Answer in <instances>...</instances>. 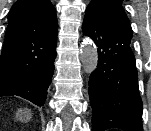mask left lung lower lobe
<instances>
[{"label":"left lung lower lobe","instance_id":"obj_1","mask_svg":"<svg viewBox=\"0 0 151 131\" xmlns=\"http://www.w3.org/2000/svg\"><path fill=\"white\" fill-rule=\"evenodd\" d=\"M82 30L93 39L99 55L88 89L92 130L143 131L130 23L119 14L93 10L86 13Z\"/></svg>","mask_w":151,"mask_h":131}]
</instances>
